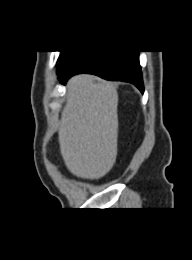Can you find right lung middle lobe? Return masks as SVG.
<instances>
[{
  "label": "right lung middle lobe",
  "instance_id": "1",
  "mask_svg": "<svg viewBox=\"0 0 192 260\" xmlns=\"http://www.w3.org/2000/svg\"><path fill=\"white\" fill-rule=\"evenodd\" d=\"M81 52L76 51H62L58 62H57V71L58 74L62 72L73 60H75Z\"/></svg>",
  "mask_w": 192,
  "mask_h": 260
}]
</instances>
